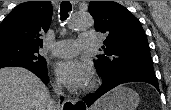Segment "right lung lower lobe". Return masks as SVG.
Segmentation results:
<instances>
[{
    "label": "right lung lower lobe",
    "mask_w": 171,
    "mask_h": 110,
    "mask_svg": "<svg viewBox=\"0 0 171 110\" xmlns=\"http://www.w3.org/2000/svg\"><path fill=\"white\" fill-rule=\"evenodd\" d=\"M30 71L35 73L45 84L48 83L47 71L46 72H40L35 70H30Z\"/></svg>",
    "instance_id": "98d812e1"
}]
</instances>
